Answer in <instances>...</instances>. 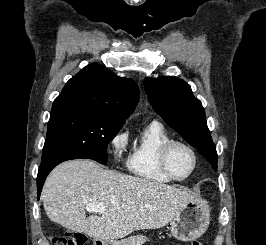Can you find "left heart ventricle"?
<instances>
[{"instance_id": "b2bd125f", "label": "left heart ventricle", "mask_w": 266, "mask_h": 245, "mask_svg": "<svg viewBox=\"0 0 266 245\" xmlns=\"http://www.w3.org/2000/svg\"><path fill=\"white\" fill-rule=\"evenodd\" d=\"M194 164L191 152L183 146H175L169 155V166L178 178L187 176Z\"/></svg>"}]
</instances>
